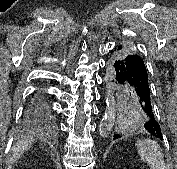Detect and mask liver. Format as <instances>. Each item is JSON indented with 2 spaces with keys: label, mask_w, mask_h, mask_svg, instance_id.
Returning a JSON list of instances; mask_svg holds the SVG:
<instances>
[{
  "label": "liver",
  "mask_w": 177,
  "mask_h": 169,
  "mask_svg": "<svg viewBox=\"0 0 177 169\" xmlns=\"http://www.w3.org/2000/svg\"><path fill=\"white\" fill-rule=\"evenodd\" d=\"M32 142H34L32 139L19 141L13 148L12 157L10 159L11 163H15L22 156L24 151L31 146Z\"/></svg>",
  "instance_id": "6515ba94"
}]
</instances>
